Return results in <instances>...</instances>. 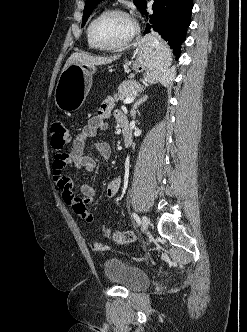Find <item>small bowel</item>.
<instances>
[{"label":"small bowel","mask_w":247,"mask_h":332,"mask_svg":"<svg viewBox=\"0 0 247 332\" xmlns=\"http://www.w3.org/2000/svg\"><path fill=\"white\" fill-rule=\"evenodd\" d=\"M114 105V99L109 98L101 105L98 115L89 119L79 133L76 135L69 153L60 152L54 157L52 171L53 180L61 192V196L65 203L69 205L72 211L85 221H92L94 215L89 211L88 206L93 200L96 190L93 186L83 184L80 187L81 194H77L73 190V181L66 174V168L69 164L76 169H85L86 171H93L96 167V161L89 154L86 149L89 146V140L97 135L99 130L106 128V118ZM117 120L123 116L124 113L120 110L115 112ZM95 147L103 161H107L111 155L110 145L106 142H97ZM122 184L120 177L112 179L106 187V197L112 200L118 193Z\"/></svg>","instance_id":"small-bowel-1"}]
</instances>
